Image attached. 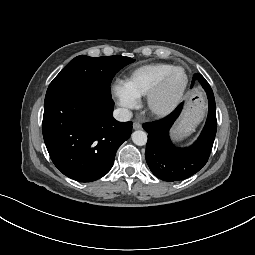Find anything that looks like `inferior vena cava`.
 Listing matches in <instances>:
<instances>
[{
    "mask_svg": "<svg viewBox=\"0 0 255 255\" xmlns=\"http://www.w3.org/2000/svg\"><path fill=\"white\" fill-rule=\"evenodd\" d=\"M113 115L120 122H126L132 118V112L125 108L115 109Z\"/></svg>",
    "mask_w": 255,
    "mask_h": 255,
    "instance_id": "inferior-vena-cava-1",
    "label": "inferior vena cava"
}]
</instances>
